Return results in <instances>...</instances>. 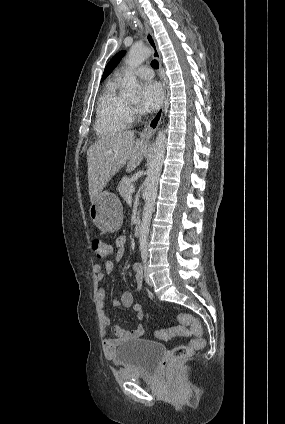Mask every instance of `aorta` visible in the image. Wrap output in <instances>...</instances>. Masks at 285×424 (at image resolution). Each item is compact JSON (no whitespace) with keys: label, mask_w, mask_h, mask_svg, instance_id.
Returning <instances> with one entry per match:
<instances>
[{"label":"aorta","mask_w":285,"mask_h":424,"mask_svg":"<svg viewBox=\"0 0 285 424\" xmlns=\"http://www.w3.org/2000/svg\"><path fill=\"white\" fill-rule=\"evenodd\" d=\"M151 50L148 47H132L128 53L126 60L127 65L131 71L127 75V83L125 87V94L128 96H135L139 90L140 85L133 72L138 66H140L148 57L151 55ZM166 151V132L162 129L158 132L156 142L154 146V152L152 161L148 168V174L146 178V192H145V204L143 209V217L140 229L139 243L141 248H145L148 243V235L150 230V223L152 213L154 211L155 200L157 196L158 182L163 166V161Z\"/></svg>","instance_id":"762f6f07"}]
</instances>
